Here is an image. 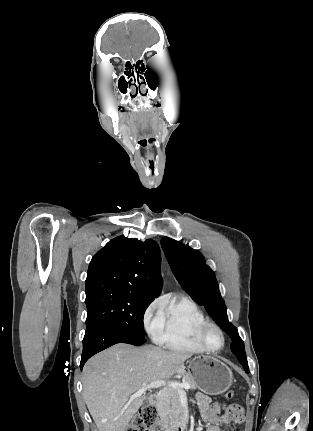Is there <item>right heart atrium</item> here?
<instances>
[{"label": "right heart atrium", "instance_id": "d8ad5b80", "mask_svg": "<svg viewBox=\"0 0 313 431\" xmlns=\"http://www.w3.org/2000/svg\"><path fill=\"white\" fill-rule=\"evenodd\" d=\"M163 305V300L156 298L146 307L143 313L144 327L155 340L163 326Z\"/></svg>", "mask_w": 313, "mask_h": 431}]
</instances>
